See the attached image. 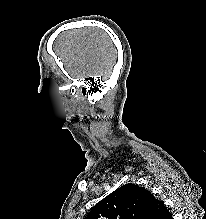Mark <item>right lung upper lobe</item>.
<instances>
[{"label": "right lung upper lobe", "mask_w": 206, "mask_h": 219, "mask_svg": "<svg viewBox=\"0 0 206 219\" xmlns=\"http://www.w3.org/2000/svg\"><path fill=\"white\" fill-rule=\"evenodd\" d=\"M85 219H172V214L147 189L126 184L98 202Z\"/></svg>", "instance_id": "cb5924a9"}]
</instances>
